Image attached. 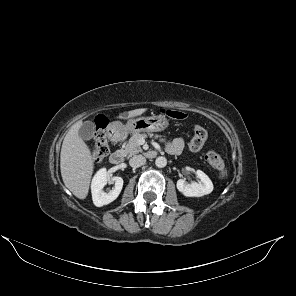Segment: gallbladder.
Listing matches in <instances>:
<instances>
[{"mask_svg": "<svg viewBox=\"0 0 296 296\" xmlns=\"http://www.w3.org/2000/svg\"><path fill=\"white\" fill-rule=\"evenodd\" d=\"M95 133V124L92 121H86L80 127L78 134L84 140H90Z\"/></svg>", "mask_w": 296, "mask_h": 296, "instance_id": "obj_1", "label": "gallbladder"}]
</instances>
